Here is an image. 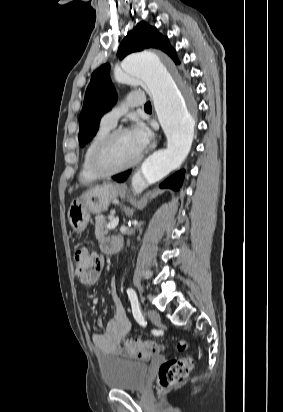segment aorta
I'll return each instance as SVG.
<instances>
[{
	"mask_svg": "<svg viewBox=\"0 0 283 412\" xmlns=\"http://www.w3.org/2000/svg\"><path fill=\"white\" fill-rule=\"evenodd\" d=\"M118 83H142L150 92L167 147L154 152L142 164L140 176L153 184L177 169L188 155L194 138V120L187 107L188 92L176 81L170 62L156 51L126 57Z\"/></svg>",
	"mask_w": 283,
	"mask_h": 412,
	"instance_id": "762f6f07",
	"label": "aorta"
}]
</instances>
